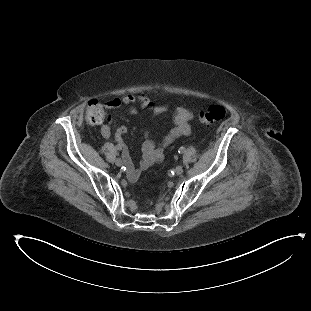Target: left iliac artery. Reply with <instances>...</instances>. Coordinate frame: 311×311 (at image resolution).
<instances>
[{"instance_id":"obj_1","label":"left iliac artery","mask_w":311,"mask_h":311,"mask_svg":"<svg viewBox=\"0 0 311 311\" xmlns=\"http://www.w3.org/2000/svg\"><path fill=\"white\" fill-rule=\"evenodd\" d=\"M184 151H185V148H184V147H181V148H179V150H178V152H179L180 154L184 153Z\"/></svg>"}]
</instances>
